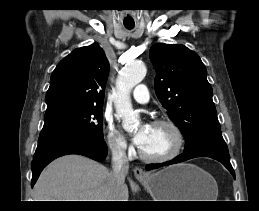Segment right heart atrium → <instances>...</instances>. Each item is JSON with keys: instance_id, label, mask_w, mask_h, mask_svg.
<instances>
[{"instance_id": "obj_1", "label": "right heart atrium", "mask_w": 259, "mask_h": 211, "mask_svg": "<svg viewBox=\"0 0 259 211\" xmlns=\"http://www.w3.org/2000/svg\"><path fill=\"white\" fill-rule=\"evenodd\" d=\"M106 143L108 148L116 157H124L128 154L130 147L125 136L117 130L110 121L105 124Z\"/></svg>"}]
</instances>
